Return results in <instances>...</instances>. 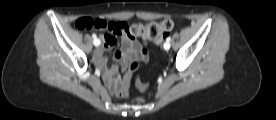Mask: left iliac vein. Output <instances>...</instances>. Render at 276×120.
I'll list each match as a JSON object with an SVG mask.
<instances>
[{"label": "left iliac vein", "instance_id": "1", "mask_svg": "<svg viewBox=\"0 0 276 120\" xmlns=\"http://www.w3.org/2000/svg\"><path fill=\"white\" fill-rule=\"evenodd\" d=\"M164 49L165 50H169L170 49V43L169 42H165L164 43Z\"/></svg>", "mask_w": 276, "mask_h": 120}]
</instances>
